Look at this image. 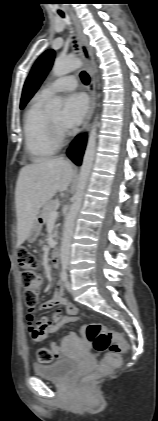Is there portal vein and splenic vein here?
Masks as SVG:
<instances>
[{"instance_id":"1","label":"portal vein and splenic vein","mask_w":158,"mask_h":421,"mask_svg":"<svg viewBox=\"0 0 158 421\" xmlns=\"http://www.w3.org/2000/svg\"><path fill=\"white\" fill-rule=\"evenodd\" d=\"M58 217V212L56 209L50 212V219L55 220Z\"/></svg>"}]
</instances>
